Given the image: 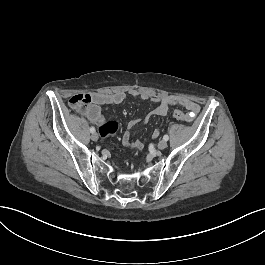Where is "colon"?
I'll use <instances>...</instances> for the list:
<instances>
[{
    "instance_id": "colon-1",
    "label": "colon",
    "mask_w": 265,
    "mask_h": 265,
    "mask_svg": "<svg viewBox=\"0 0 265 265\" xmlns=\"http://www.w3.org/2000/svg\"><path fill=\"white\" fill-rule=\"evenodd\" d=\"M90 103V96L87 93H79L68 100V107L71 110H79L81 107L87 106ZM176 119L188 122L189 118L180 111H175ZM120 129L118 121L104 122L99 127V133L102 138H108L115 135Z\"/></svg>"
}]
</instances>
